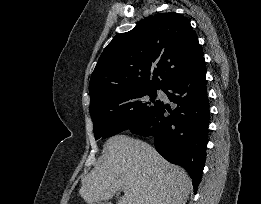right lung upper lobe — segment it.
I'll list each match as a JSON object with an SVG mask.
<instances>
[{
	"label": "right lung upper lobe",
	"mask_w": 261,
	"mask_h": 204,
	"mask_svg": "<svg viewBox=\"0 0 261 204\" xmlns=\"http://www.w3.org/2000/svg\"><path fill=\"white\" fill-rule=\"evenodd\" d=\"M202 59L185 17L169 12L143 19L104 49L89 83L90 107L124 91L163 89Z\"/></svg>",
	"instance_id": "obj_1"
}]
</instances>
